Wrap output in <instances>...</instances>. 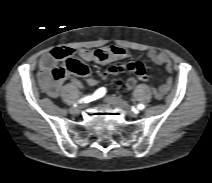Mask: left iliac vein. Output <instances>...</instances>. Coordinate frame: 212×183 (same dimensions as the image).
<instances>
[{"label":"left iliac vein","instance_id":"left-iliac-vein-1","mask_svg":"<svg viewBox=\"0 0 212 183\" xmlns=\"http://www.w3.org/2000/svg\"><path fill=\"white\" fill-rule=\"evenodd\" d=\"M106 102L109 103V104H111V105H113V106H116V107H119V108L125 110V112H126L129 116H131V117L136 116V113H135V112H132V111L129 109L127 103H126L125 101H123L122 99H120V98H117V97H115V96H108V97L106 98Z\"/></svg>","mask_w":212,"mask_h":183}]
</instances>
